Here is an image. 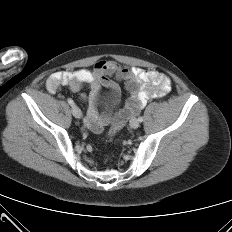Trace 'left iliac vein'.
<instances>
[{"mask_svg": "<svg viewBox=\"0 0 232 232\" xmlns=\"http://www.w3.org/2000/svg\"><path fill=\"white\" fill-rule=\"evenodd\" d=\"M130 126L134 129L139 127V121L136 118L131 119L130 121Z\"/></svg>", "mask_w": 232, "mask_h": 232, "instance_id": "1", "label": "left iliac vein"}]
</instances>
